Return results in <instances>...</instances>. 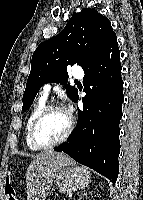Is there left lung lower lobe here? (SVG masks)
I'll list each match as a JSON object with an SVG mask.
<instances>
[{
  "label": "left lung lower lobe",
  "mask_w": 143,
  "mask_h": 200,
  "mask_svg": "<svg viewBox=\"0 0 143 200\" xmlns=\"http://www.w3.org/2000/svg\"><path fill=\"white\" fill-rule=\"evenodd\" d=\"M117 37L84 70L83 110L68 141L56 147L77 162L107 177L113 184L119 172V123L122 118L123 81ZM78 94L73 99L78 100Z\"/></svg>",
  "instance_id": "1"
}]
</instances>
